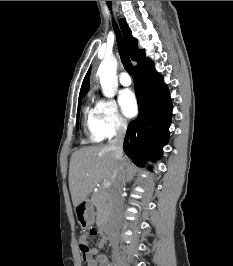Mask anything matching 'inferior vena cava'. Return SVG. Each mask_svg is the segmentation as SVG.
Segmentation results:
<instances>
[{"label": "inferior vena cava", "instance_id": "obj_1", "mask_svg": "<svg viewBox=\"0 0 233 266\" xmlns=\"http://www.w3.org/2000/svg\"><path fill=\"white\" fill-rule=\"evenodd\" d=\"M127 130V123L122 121L116 129V136L109 145L115 152L116 158L121 162L119 172L115 177L110 190V222L111 232H115L120 226V213L122 210V190L125 184L126 166L123 162V141Z\"/></svg>", "mask_w": 233, "mask_h": 266}]
</instances>
